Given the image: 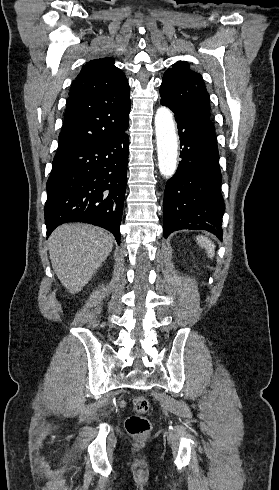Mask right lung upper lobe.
Listing matches in <instances>:
<instances>
[{
    "label": "right lung upper lobe",
    "mask_w": 279,
    "mask_h": 490,
    "mask_svg": "<svg viewBox=\"0 0 279 490\" xmlns=\"http://www.w3.org/2000/svg\"><path fill=\"white\" fill-rule=\"evenodd\" d=\"M129 85L111 58L89 61L71 85L55 157L94 144L128 126Z\"/></svg>",
    "instance_id": "right-lung-upper-lobe-1"
}]
</instances>
